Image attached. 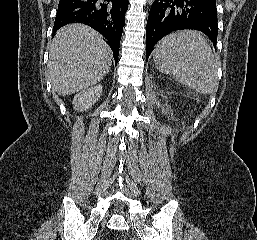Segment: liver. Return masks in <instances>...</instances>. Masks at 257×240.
<instances>
[{"label": "liver", "instance_id": "1", "mask_svg": "<svg viewBox=\"0 0 257 240\" xmlns=\"http://www.w3.org/2000/svg\"><path fill=\"white\" fill-rule=\"evenodd\" d=\"M112 61V51L99 33L83 24L65 26L50 45L52 89L67 96L93 86L109 72Z\"/></svg>", "mask_w": 257, "mask_h": 240}]
</instances>
